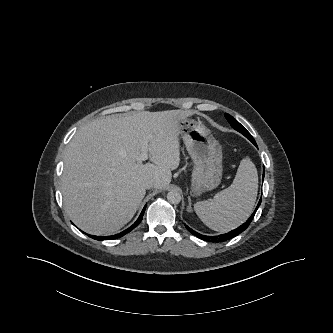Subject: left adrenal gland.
Listing matches in <instances>:
<instances>
[{"label": "left adrenal gland", "instance_id": "left-adrenal-gland-1", "mask_svg": "<svg viewBox=\"0 0 333 333\" xmlns=\"http://www.w3.org/2000/svg\"><path fill=\"white\" fill-rule=\"evenodd\" d=\"M188 203H189V205H188V207H187V211H188V212H191V211H192V208H191V198H190V196H188Z\"/></svg>", "mask_w": 333, "mask_h": 333}]
</instances>
